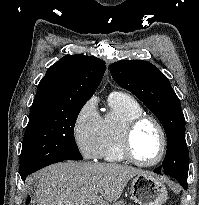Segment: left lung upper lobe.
Instances as JSON below:
<instances>
[{
  "label": "left lung upper lobe",
  "instance_id": "1",
  "mask_svg": "<svg viewBox=\"0 0 199 205\" xmlns=\"http://www.w3.org/2000/svg\"><path fill=\"white\" fill-rule=\"evenodd\" d=\"M110 72L114 81L140 99L164 127L166 156L162 166L155 171L177 180H187L189 151L185 141V118L168 78L153 64L142 60L115 62L110 66Z\"/></svg>",
  "mask_w": 199,
  "mask_h": 205
}]
</instances>
